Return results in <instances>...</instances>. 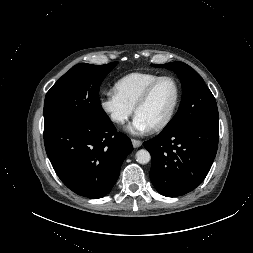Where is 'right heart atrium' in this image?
Segmentation results:
<instances>
[{"label": "right heart atrium", "instance_id": "d8ad5b80", "mask_svg": "<svg viewBox=\"0 0 253 253\" xmlns=\"http://www.w3.org/2000/svg\"><path fill=\"white\" fill-rule=\"evenodd\" d=\"M99 104L102 111L117 125L124 124L133 112V108L127 105L115 91L103 93Z\"/></svg>", "mask_w": 253, "mask_h": 253}]
</instances>
